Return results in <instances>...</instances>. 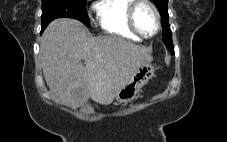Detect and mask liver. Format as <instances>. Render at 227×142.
Masks as SVG:
<instances>
[{
	"label": "liver",
	"instance_id": "6515ba94",
	"mask_svg": "<svg viewBox=\"0 0 227 142\" xmlns=\"http://www.w3.org/2000/svg\"><path fill=\"white\" fill-rule=\"evenodd\" d=\"M40 59L50 92L63 104L78 108L89 98L111 104L136 70L153 58L123 38L91 37L81 22L59 18L41 37Z\"/></svg>",
	"mask_w": 227,
	"mask_h": 142
}]
</instances>
